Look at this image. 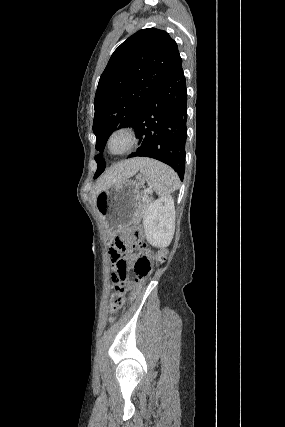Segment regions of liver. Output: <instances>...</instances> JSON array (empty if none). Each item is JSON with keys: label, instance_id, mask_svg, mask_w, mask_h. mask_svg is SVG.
Here are the masks:
<instances>
[{"label": "liver", "instance_id": "1", "mask_svg": "<svg viewBox=\"0 0 285 427\" xmlns=\"http://www.w3.org/2000/svg\"><path fill=\"white\" fill-rule=\"evenodd\" d=\"M145 158H133L115 164L109 168L97 181L96 186L92 192L94 202L97 195L105 190L107 187L130 178L141 168L145 162Z\"/></svg>", "mask_w": 285, "mask_h": 427}]
</instances>
